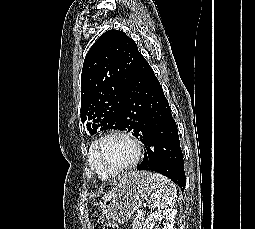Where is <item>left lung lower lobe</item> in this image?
Here are the masks:
<instances>
[{"label":"left lung lower lobe","mask_w":255,"mask_h":229,"mask_svg":"<svg viewBox=\"0 0 255 229\" xmlns=\"http://www.w3.org/2000/svg\"><path fill=\"white\" fill-rule=\"evenodd\" d=\"M121 117L127 130L133 131L144 146V158L137 170L158 172L184 190L178 129L163 89L143 56L126 89Z\"/></svg>","instance_id":"obj_1"}]
</instances>
